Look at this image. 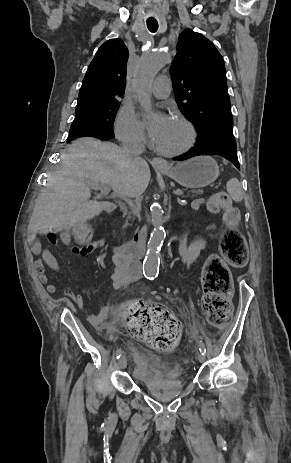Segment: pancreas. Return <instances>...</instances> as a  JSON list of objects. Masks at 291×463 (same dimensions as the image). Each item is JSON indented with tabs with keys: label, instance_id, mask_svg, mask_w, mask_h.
<instances>
[{
	"label": "pancreas",
	"instance_id": "1",
	"mask_svg": "<svg viewBox=\"0 0 291 463\" xmlns=\"http://www.w3.org/2000/svg\"><path fill=\"white\" fill-rule=\"evenodd\" d=\"M199 191H190V192H187V195L185 197H191V198H194L198 195ZM126 225H127V222H126Z\"/></svg>",
	"mask_w": 291,
	"mask_h": 463
}]
</instances>
